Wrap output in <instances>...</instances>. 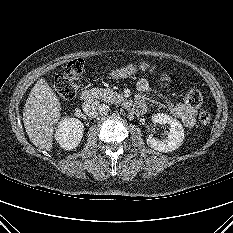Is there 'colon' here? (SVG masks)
I'll list each match as a JSON object with an SVG mask.
<instances>
[{
	"label": "colon",
	"instance_id": "colon-1",
	"mask_svg": "<svg viewBox=\"0 0 233 233\" xmlns=\"http://www.w3.org/2000/svg\"><path fill=\"white\" fill-rule=\"evenodd\" d=\"M83 73L84 61L82 59L71 60L64 71L54 78V89L62 98L72 99L80 86ZM185 102L193 108L201 107L203 104L202 92L197 88L190 89L185 95ZM199 121L201 124L207 125L211 121V114L205 110L201 111Z\"/></svg>",
	"mask_w": 233,
	"mask_h": 233
}]
</instances>
